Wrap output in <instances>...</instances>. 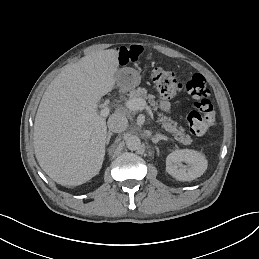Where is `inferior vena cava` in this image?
<instances>
[{
  "mask_svg": "<svg viewBox=\"0 0 259 259\" xmlns=\"http://www.w3.org/2000/svg\"><path fill=\"white\" fill-rule=\"evenodd\" d=\"M107 125L110 131L121 133L126 130L128 120L122 113H114L109 117Z\"/></svg>",
  "mask_w": 259,
  "mask_h": 259,
  "instance_id": "obj_1",
  "label": "inferior vena cava"
}]
</instances>
